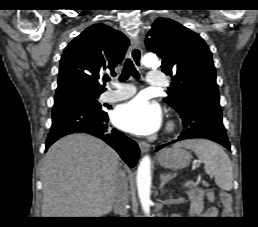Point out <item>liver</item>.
I'll return each mask as SVG.
<instances>
[{"mask_svg":"<svg viewBox=\"0 0 258 227\" xmlns=\"http://www.w3.org/2000/svg\"><path fill=\"white\" fill-rule=\"evenodd\" d=\"M117 153L102 140L77 133L55 142L41 170L42 217H100L114 204Z\"/></svg>","mask_w":258,"mask_h":227,"instance_id":"6515ba94","label":"liver"}]
</instances>
